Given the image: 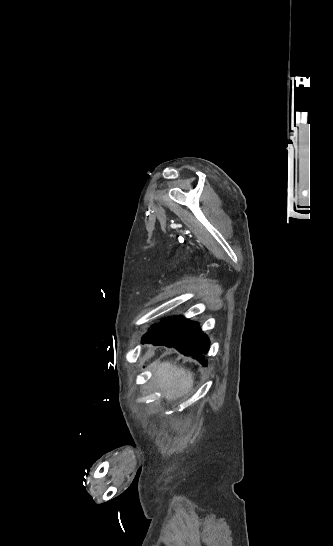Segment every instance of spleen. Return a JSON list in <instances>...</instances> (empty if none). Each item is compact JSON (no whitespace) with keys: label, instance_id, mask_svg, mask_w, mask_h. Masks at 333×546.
<instances>
[{"label":"spleen","instance_id":"1","mask_svg":"<svg viewBox=\"0 0 333 546\" xmlns=\"http://www.w3.org/2000/svg\"><path fill=\"white\" fill-rule=\"evenodd\" d=\"M156 388L164 393L168 401L176 400L187 394L193 387V374L190 370L166 361L152 366Z\"/></svg>","mask_w":333,"mask_h":546}]
</instances>
